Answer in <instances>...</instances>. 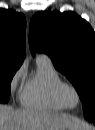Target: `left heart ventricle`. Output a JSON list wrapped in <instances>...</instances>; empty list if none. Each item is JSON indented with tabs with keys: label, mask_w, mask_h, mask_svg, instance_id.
I'll return each mask as SVG.
<instances>
[{
	"label": "left heart ventricle",
	"mask_w": 95,
	"mask_h": 130,
	"mask_svg": "<svg viewBox=\"0 0 95 130\" xmlns=\"http://www.w3.org/2000/svg\"><path fill=\"white\" fill-rule=\"evenodd\" d=\"M64 96H65V100L68 105L75 106L77 104V102H78L77 95L73 90L67 89L65 91Z\"/></svg>",
	"instance_id": "left-heart-ventricle-1"
}]
</instances>
